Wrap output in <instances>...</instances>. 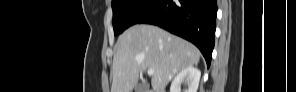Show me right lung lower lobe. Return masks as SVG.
<instances>
[{
    "instance_id": "1",
    "label": "right lung lower lobe",
    "mask_w": 296,
    "mask_h": 92,
    "mask_svg": "<svg viewBox=\"0 0 296 92\" xmlns=\"http://www.w3.org/2000/svg\"><path fill=\"white\" fill-rule=\"evenodd\" d=\"M216 14V0H160L138 23L157 25L194 43L209 67Z\"/></svg>"
}]
</instances>
